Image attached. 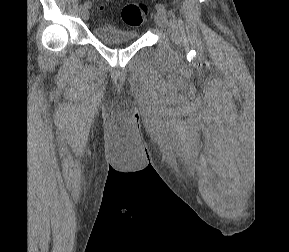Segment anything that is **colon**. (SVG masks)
Returning <instances> with one entry per match:
<instances>
[{"instance_id": "obj_1", "label": "colon", "mask_w": 289, "mask_h": 252, "mask_svg": "<svg viewBox=\"0 0 289 252\" xmlns=\"http://www.w3.org/2000/svg\"><path fill=\"white\" fill-rule=\"evenodd\" d=\"M147 15L148 9L146 5L142 3H130L123 8L121 18L124 24L136 27L144 22Z\"/></svg>"}]
</instances>
